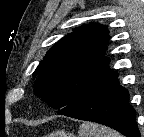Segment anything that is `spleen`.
<instances>
[{
  "label": "spleen",
  "instance_id": "1",
  "mask_svg": "<svg viewBox=\"0 0 144 137\" xmlns=\"http://www.w3.org/2000/svg\"><path fill=\"white\" fill-rule=\"evenodd\" d=\"M64 137H74L73 134L64 135ZM78 137H122L120 133L109 127L99 125L93 122H83L78 131Z\"/></svg>",
  "mask_w": 144,
  "mask_h": 137
}]
</instances>
